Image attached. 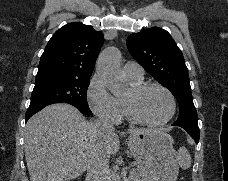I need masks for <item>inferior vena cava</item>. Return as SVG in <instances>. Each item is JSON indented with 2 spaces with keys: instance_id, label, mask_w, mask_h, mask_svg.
<instances>
[{
  "instance_id": "602c4592",
  "label": "inferior vena cava",
  "mask_w": 228,
  "mask_h": 181,
  "mask_svg": "<svg viewBox=\"0 0 228 181\" xmlns=\"http://www.w3.org/2000/svg\"><path fill=\"white\" fill-rule=\"evenodd\" d=\"M89 129V135H94V133L106 135V133H113L114 125L107 121V119H104V117H99L95 123L90 125ZM108 159L109 157H106V155L93 151L87 163L86 181H110Z\"/></svg>"
}]
</instances>
